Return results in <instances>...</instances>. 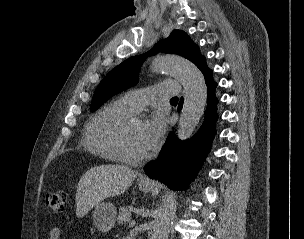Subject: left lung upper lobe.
I'll list each match as a JSON object with an SVG mask.
<instances>
[{
    "mask_svg": "<svg viewBox=\"0 0 304 239\" xmlns=\"http://www.w3.org/2000/svg\"><path fill=\"white\" fill-rule=\"evenodd\" d=\"M158 51L181 55L197 67L205 59L200 54L198 46L184 31L174 30L168 38L159 41L148 53L130 57L112 69L96 88L90 111L97 110L112 96L134 86L138 81V70L146 56Z\"/></svg>",
    "mask_w": 304,
    "mask_h": 239,
    "instance_id": "obj_1",
    "label": "left lung upper lobe"
}]
</instances>
